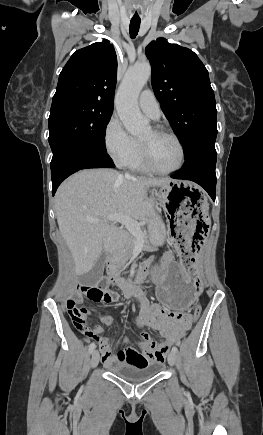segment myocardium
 I'll return each mask as SVG.
<instances>
[{"label": "myocardium", "mask_w": 263, "mask_h": 435, "mask_svg": "<svg viewBox=\"0 0 263 435\" xmlns=\"http://www.w3.org/2000/svg\"><path fill=\"white\" fill-rule=\"evenodd\" d=\"M152 130L156 135L167 136V137L172 138L179 147L181 157H180V162L176 167L169 169V170L159 169L154 165L147 146L141 142L142 154H143L145 166L147 167V169L149 171H151L155 174H159V175H168V174L177 172L178 170H180L184 166L185 160H186V151H185V147H184L181 139L174 132L169 131L165 128L155 127Z\"/></svg>", "instance_id": "myocardium-1"}]
</instances>
